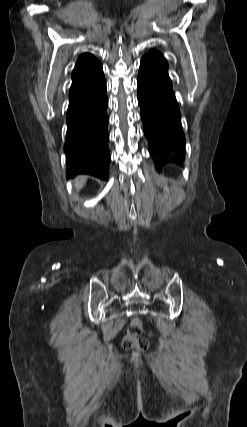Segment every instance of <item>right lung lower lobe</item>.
I'll list each match as a JSON object with an SVG mask.
<instances>
[{
  "label": "right lung lower lobe",
  "instance_id": "1",
  "mask_svg": "<svg viewBox=\"0 0 247 427\" xmlns=\"http://www.w3.org/2000/svg\"><path fill=\"white\" fill-rule=\"evenodd\" d=\"M107 106L102 67L72 83L64 145L67 178L90 174L107 180L110 164Z\"/></svg>",
  "mask_w": 247,
  "mask_h": 427
}]
</instances>
